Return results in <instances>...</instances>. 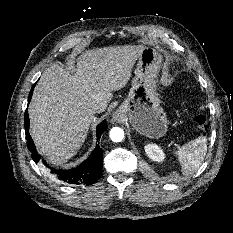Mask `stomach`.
<instances>
[{
  "instance_id": "0dacf381",
  "label": "stomach",
  "mask_w": 233,
  "mask_h": 233,
  "mask_svg": "<svg viewBox=\"0 0 233 233\" xmlns=\"http://www.w3.org/2000/svg\"><path fill=\"white\" fill-rule=\"evenodd\" d=\"M162 62L161 52L143 47L137 58L135 77L129 94L115 117L129 121L133 129L145 137L158 139L166 135L168 120L156 92V78Z\"/></svg>"
}]
</instances>
